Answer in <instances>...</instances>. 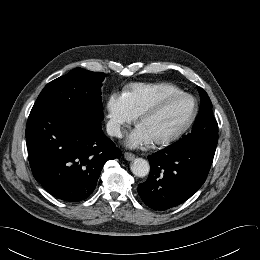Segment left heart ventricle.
I'll list each match as a JSON object with an SVG mask.
<instances>
[{"instance_id":"left-heart-ventricle-1","label":"left heart ventricle","mask_w":260,"mask_h":260,"mask_svg":"<svg viewBox=\"0 0 260 260\" xmlns=\"http://www.w3.org/2000/svg\"><path fill=\"white\" fill-rule=\"evenodd\" d=\"M191 108L190 99L174 98L165 103L157 113L147 117L141 126L152 139L163 137L176 130L184 122Z\"/></svg>"}]
</instances>
